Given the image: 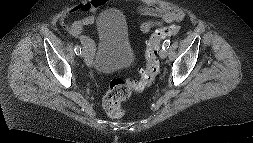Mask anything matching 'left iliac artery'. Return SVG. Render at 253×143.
<instances>
[{"mask_svg":"<svg viewBox=\"0 0 253 143\" xmlns=\"http://www.w3.org/2000/svg\"><path fill=\"white\" fill-rule=\"evenodd\" d=\"M169 46H170V40H166V41H164V43H163V46H162V49H168L169 48Z\"/></svg>","mask_w":253,"mask_h":143,"instance_id":"obj_1","label":"left iliac artery"}]
</instances>
